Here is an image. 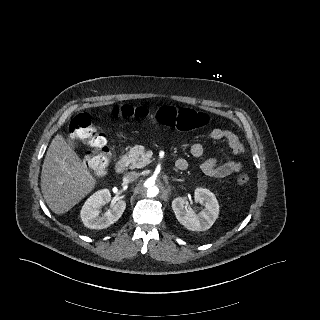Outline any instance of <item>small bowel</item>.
I'll use <instances>...</instances> for the list:
<instances>
[{"label": "small bowel", "mask_w": 320, "mask_h": 320, "mask_svg": "<svg viewBox=\"0 0 320 320\" xmlns=\"http://www.w3.org/2000/svg\"><path fill=\"white\" fill-rule=\"evenodd\" d=\"M210 137L213 140H224L229 146L234 156H240L244 152V146L238 136L230 130L222 128H214L210 132ZM190 152L195 157L203 155L204 148L200 143H193L190 147ZM243 168V164L239 160H229L219 164L216 158H210L204 161L201 165L202 171L213 178H224L234 173L239 172Z\"/></svg>", "instance_id": "1"}]
</instances>
